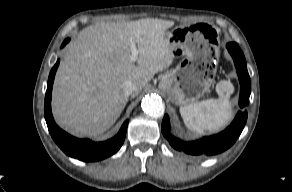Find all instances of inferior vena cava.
<instances>
[{"mask_svg":"<svg viewBox=\"0 0 292 192\" xmlns=\"http://www.w3.org/2000/svg\"><path fill=\"white\" fill-rule=\"evenodd\" d=\"M122 89L126 96H130L134 94L136 87L132 81L128 80L122 84Z\"/></svg>","mask_w":292,"mask_h":192,"instance_id":"inferior-vena-cava-1","label":"inferior vena cava"}]
</instances>
